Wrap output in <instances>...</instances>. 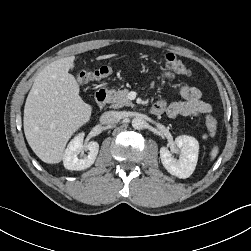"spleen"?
Wrapping results in <instances>:
<instances>
[{"mask_svg": "<svg viewBox=\"0 0 251 251\" xmlns=\"http://www.w3.org/2000/svg\"><path fill=\"white\" fill-rule=\"evenodd\" d=\"M219 152V148L217 146H214L210 152V158L211 160H214Z\"/></svg>", "mask_w": 251, "mask_h": 251, "instance_id": "obj_1", "label": "spleen"}]
</instances>
